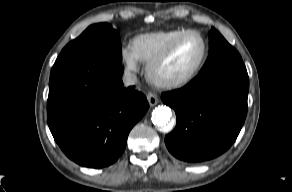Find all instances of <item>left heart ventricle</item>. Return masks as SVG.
<instances>
[{"label":"left heart ventricle","mask_w":292,"mask_h":192,"mask_svg":"<svg viewBox=\"0 0 292 192\" xmlns=\"http://www.w3.org/2000/svg\"><path fill=\"white\" fill-rule=\"evenodd\" d=\"M203 52L201 39L196 35L184 38L170 58L162 65L159 75L174 79L185 76L198 64Z\"/></svg>","instance_id":"obj_1"}]
</instances>
